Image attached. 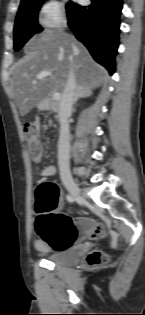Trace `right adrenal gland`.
<instances>
[{
	"mask_svg": "<svg viewBox=\"0 0 145 315\" xmlns=\"http://www.w3.org/2000/svg\"><path fill=\"white\" fill-rule=\"evenodd\" d=\"M90 95H91V92L87 89L85 85H79L75 93L74 104L77 102L79 98L87 97Z\"/></svg>",
	"mask_w": 145,
	"mask_h": 315,
	"instance_id": "right-adrenal-gland-1",
	"label": "right adrenal gland"
}]
</instances>
